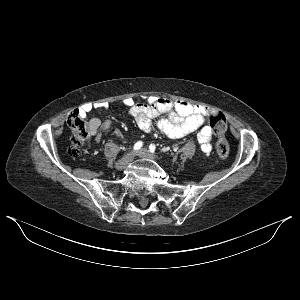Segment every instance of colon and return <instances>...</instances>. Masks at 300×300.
<instances>
[{"instance_id":"colon-1","label":"colon","mask_w":300,"mask_h":300,"mask_svg":"<svg viewBox=\"0 0 300 300\" xmlns=\"http://www.w3.org/2000/svg\"><path fill=\"white\" fill-rule=\"evenodd\" d=\"M67 124L73 132L72 143L68 153L73 158H78L82 153V147L89 137V126L83 118L81 111L73 110L67 117ZM209 126L218 136L216 144L217 155L226 159L230 153L229 143L222 137L226 129V118L221 112H216L209 117Z\"/></svg>"}]
</instances>
